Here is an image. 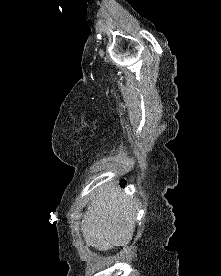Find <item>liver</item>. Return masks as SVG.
<instances>
[{
  "label": "liver",
  "mask_w": 221,
  "mask_h": 276,
  "mask_svg": "<svg viewBox=\"0 0 221 276\" xmlns=\"http://www.w3.org/2000/svg\"><path fill=\"white\" fill-rule=\"evenodd\" d=\"M137 205L112 183L100 186L81 222L87 246L107 251L127 245L135 230Z\"/></svg>",
  "instance_id": "obj_1"
}]
</instances>
